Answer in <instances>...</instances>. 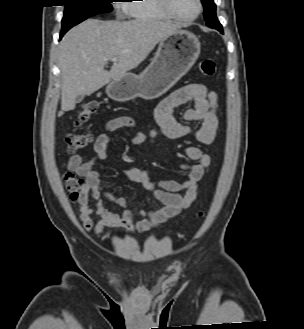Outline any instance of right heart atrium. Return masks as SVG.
Wrapping results in <instances>:
<instances>
[{"label":"right heart atrium","mask_w":304,"mask_h":329,"mask_svg":"<svg viewBox=\"0 0 304 329\" xmlns=\"http://www.w3.org/2000/svg\"><path fill=\"white\" fill-rule=\"evenodd\" d=\"M122 2V1H117ZM115 8L119 16H123L127 12L126 3H115Z\"/></svg>","instance_id":"right-heart-atrium-1"}]
</instances>
